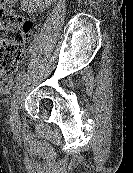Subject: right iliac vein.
I'll list each match as a JSON object with an SVG mask.
<instances>
[{"label":"right iliac vein","mask_w":133,"mask_h":173,"mask_svg":"<svg viewBox=\"0 0 133 173\" xmlns=\"http://www.w3.org/2000/svg\"><path fill=\"white\" fill-rule=\"evenodd\" d=\"M21 93L22 89L19 87L13 97L12 106L10 109V118H9L10 124L12 126H15L17 124L18 107H19Z\"/></svg>","instance_id":"63e3f726"}]
</instances>
